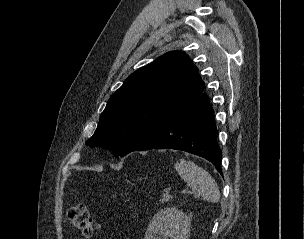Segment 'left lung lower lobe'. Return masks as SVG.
I'll use <instances>...</instances> for the list:
<instances>
[{
    "label": "left lung lower lobe",
    "mask_w": 304,
    "mask_h": 239,
    "mask_svg": "<svg viewBox=\"0 0 304 239\" xmlns=\"http://www.w3.org/2000/svg\"><path fill=\"white\" fill-rule=\"evenodd\" d=\"M150 149H176L201 156L221 173L222 152L217 143L214 110L207 95L202 93L132 151Z\"/></svg>",
    "instance_id": "obj_1"
}]
</instances>
